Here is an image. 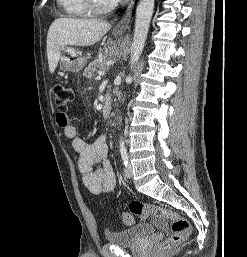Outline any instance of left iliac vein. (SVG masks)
<instances>
[{"mask_svg":"<svg viewBox=\"0 0 247 257\" xmlns=\"http://www.w3.org/2000/svg\"><path fill=\"white\" fill-rule=\"evenodd\" d=\"M124 174H125L126 178H128V179L132 178L133 168H132V165L130 163L125 167Z\"/></svg>","mask_w":247,"mask_h":257,"instance_id":"obj_1","label":"left iliac vein"}]
</instances>
